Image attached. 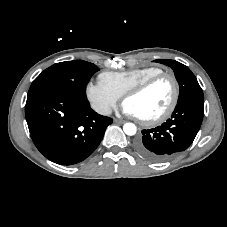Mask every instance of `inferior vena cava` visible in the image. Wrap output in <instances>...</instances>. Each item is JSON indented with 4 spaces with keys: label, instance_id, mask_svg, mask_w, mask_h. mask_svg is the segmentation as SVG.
I'll return each mask as SVG.
<instances>
[{
    "label": "inferior vena cava",
    "instance_id": "inferior-vena-cava-1",
    "mask_svg": "<svg viewBox=\"0 0 227 227\" xmlns=\"http://www.w3.org/2000/svg\"><path fill=\"white\" fill-rule=\"evenodd\" d=\"M97 112L101 115H110L112 113V109L108 106H104L99 108Z\"/></svg>",
    "mask_w": 227,
    "mask_h": 227
}]
</instances>
